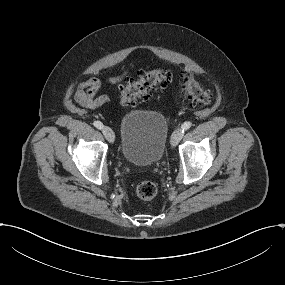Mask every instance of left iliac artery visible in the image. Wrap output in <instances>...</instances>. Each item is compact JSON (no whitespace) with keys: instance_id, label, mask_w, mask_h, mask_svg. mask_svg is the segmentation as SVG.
Wrapping results in <instances>:
<instances>
[{"instance_id":"left-iliac-artery-1","label":"left iliac artery","mask_w":285,"mask_h":285,"mask_svg":"<svg viewBox=\"0 0 285 285\" xmlns=\"http://www.w3.org/2000/svg\"><path fill=\"white\" fill-rule=\"evenodd\" d=\"M192 123L191 122H184V124L182 125V130H183V133L184 131H186L187 129H189L191 127Z\"/></svg>"}]
</instances>
